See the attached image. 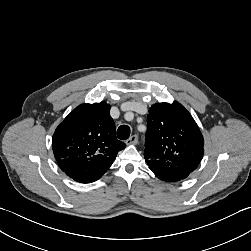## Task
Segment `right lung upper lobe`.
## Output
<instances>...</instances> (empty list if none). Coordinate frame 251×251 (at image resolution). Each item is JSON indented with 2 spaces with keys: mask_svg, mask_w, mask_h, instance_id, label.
Segmentation results:
<instances>
[{
  "mask_svg": "<svg viewBox=\"0 0 251 251\" xmlns=\"http://www.w3.org/2000/svg\"><path fill=\"white\" fill-rule=\"evenodd\" d=\"M110 108L106 102L82 104L55 130L54 156L60 168L75 181L98 180L126 146L116 138Z\"/></svg>",
  "mask_w": 251,
  "mask_h": 251,
  "instance_id": "cb5924a9",
  "label": "right lung upper lobe"
}]
</instances>
